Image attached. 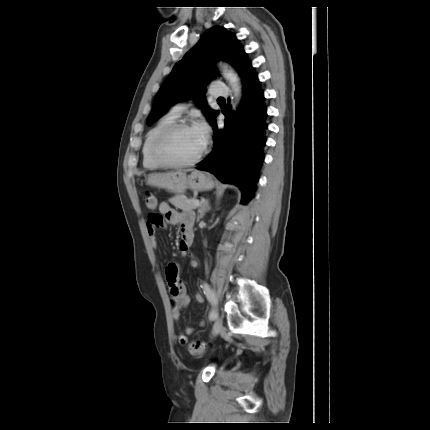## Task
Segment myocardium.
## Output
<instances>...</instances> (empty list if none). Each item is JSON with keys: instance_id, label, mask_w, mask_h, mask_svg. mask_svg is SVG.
Returning <instances> with one entry per match:
<instances>
[{"instance_id": "f54148a6", "label": "myocardium", "mask_w": 430, "mask_h": 430, "mask_svg": "<svg viewBox=\"0 0 430 430\" xmlns=\"http://www.w3.org/2000/svg\"><path fill=\"white\" fill-rule=\"evenodd\" d=\"M192 128V125L186 121H175L174 123L168 125L162 131H160L156 137L153 139L150 153L152 158L162 166L165 167H187L198 163L206 154L207 147L204 146L202 151L190 160L178 161L169 158L164 154L163 148L168 140L179 130Z\"/></svg>"}]
</instances>
